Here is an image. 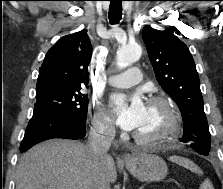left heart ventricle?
Segmentation results:
<instances>
[{
    "instance_id": "1",
    "label": "left heart ventricle",
    "mask_w": 223,
    "mask_h": 189,
    "mask_svg": "<svg viewBox=\"0 0 223 189\" xmlns=\"http://www.w3.org/2000/svg\"><path fill=\"white\" fill-rule=\"evenodd\" d=\"M166 112L161 106H153L146 104V111L145 116L139 125V127L136 129V132L141 133H154L166 122Z\"/></svg>"
}]
</instances>
